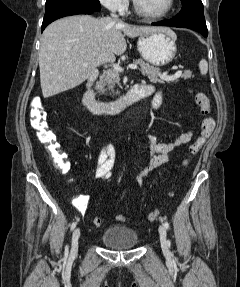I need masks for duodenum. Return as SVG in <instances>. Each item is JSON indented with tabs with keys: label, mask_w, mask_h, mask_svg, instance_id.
<instances>
[{
	"label": "duodenum",
	"mask_w": 240,
	"mask_h": 287,
	"mask_svg": "<svg viewBox=\"0 0 240 287\" xmlns=\"http://www.w3.org/2000/svg\"><path fill=\"white\" fill-rule=\"evenodd\" d=\"M98 73L94 72L91 78L85 83L83 93V104L95 114L111 113L116 114L125 109L127 106L147 97L141 84H135L124 95L114 100H98L93 93L91 86Z\"/></svg>",
	"instance_id": "duodenum-1"
}]
</instances>
